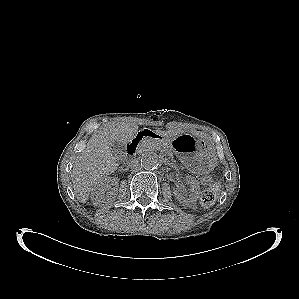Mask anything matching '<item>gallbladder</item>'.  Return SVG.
Returning <instances> with one entry per match:
<instances>
[{
  "label": "gallbladder",
  "mask_w": 299,
  "mask_h": 299,
  "mask_svg": "<svg viewBox=\"0 0 299 299\" xmlns=\"http://www.w3.org/2000/svg\"><path fill=\"white\" fill-rule=\"evenodd\" d=\"M110 149L114 155L122 157L125 155L126 145L120 141H113Z\"/></svg>",
  "instance_id": "bac80fb5"
}]
</instances>
